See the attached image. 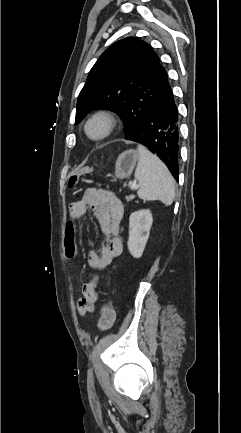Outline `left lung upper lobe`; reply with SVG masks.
<instances>
[{
    "instance_id": "5c2ea615",
    "label": "left lung upper lobe",
    "mask_w": 241,
    "mask_h": 433,
    "mask_svg": "<svg viewBox=\"0 0 241 433\" xmlns=\"http://www.w3.org/2000/svg\"><path fill=\"white\" fill-rule=\"evenodd\" d=\"M167 85V72L158 55L144 41L128 37L106 49L92 67L81 90L76 121L91 110H118L133 132L157 103Z\"/></svg>"
}]
</instances>
